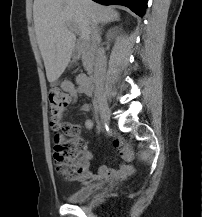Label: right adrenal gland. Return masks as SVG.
<instances>
[{
  "label": "right adrenal gland",
  "mask_w": 202,
  "mask_h": 217,
  "mask_svg": "<svg viewBox=\"0 0 202 217\" xmlns=\"http://www.w3.org/2000/svg\"><path fill=\"white\" fill-rule=\"evenodd\" d=\"M119 19H117V21H118ZM107 23H102L101 24V26H100V30H102L103 29V27L106 25Z\"/></svg>",
  "instance_id": "right-adrenal-gland-1"
}]
</instances>
